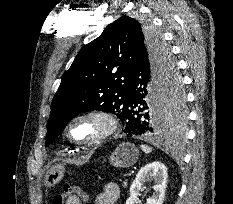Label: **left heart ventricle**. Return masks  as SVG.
<instances>
[{"instance_id":"1","label":"left heart ventricle","mask_w":233,"mask_h":204,"mask_svg":"<svg viewBox=\"0 0 233 204\" xmlns=\"http://www.w3.org/2000/svg\"><path fill=\"white\" fill-rule=\"evenodd\" d=\"M102 126L95 121H81L76 123L72 129L71 134L77 140H84L95 136L100 132Z\"/></svg>"}]
</instances>
